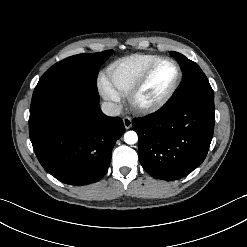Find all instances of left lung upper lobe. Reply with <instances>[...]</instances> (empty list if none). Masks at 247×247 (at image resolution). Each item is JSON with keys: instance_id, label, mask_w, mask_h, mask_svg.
Here are the masks:
<instances>
[{"instance_id": "1", "label": "left lung upper lobe", "mask_w": 247, "mask_h": 247, "mask_svg": "<svg viewBox=\"0 0 247 247\" xmlns=\"http://www.w3.org/2000/svg\"><path fill=\"white\" fill-rule=\"evenodd\" d=\"M182 67L184 83L167 106H178L197 99H214V92L206 75L193 61L178 52H172Z\"/></svg>"}]
</instances>
